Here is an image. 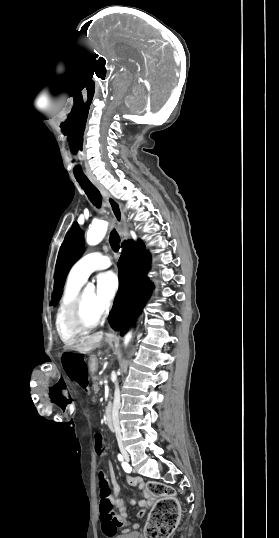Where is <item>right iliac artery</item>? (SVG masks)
<instances>
[{"mask_svg":"<svg viewBox=\"0 0 279 538\" xmlns=\"http://www.w3.org/2000/svg\"><path fill=\"white\" fill-rule=\"evenodd\" d=\"M118 460L122 463V467L125 470V472L130 473L132 471V468L127 462L124 461L123 456L121 454H118Z\"/></svg>","mask_w":279,"mask_h":538,"instance_id":"right-iliac-artery-1","label":"right iliac artery"}]
</instances>
